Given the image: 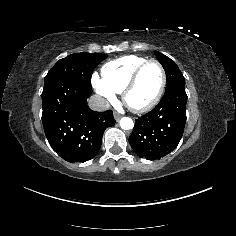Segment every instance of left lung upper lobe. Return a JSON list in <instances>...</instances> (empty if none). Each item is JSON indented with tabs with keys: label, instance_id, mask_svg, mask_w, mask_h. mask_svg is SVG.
<instances>
[{
	"label": "left lung upper lobe",
	"instance_id": "obj_1",
	"mask_svg": "<svg viewBox=\"0 0 236 236\" xmlns=\"http://www.w3.org/2000/svg\"><path fill=\"white\" fill-rule=\"evenodd\" d=\"M155 55L166 72L167 88L185 87V78L176 63L164 54L155 51Z\"/></svg>",
	"mask_w": 236,
	"mask_h": 236
}]
</instances>
